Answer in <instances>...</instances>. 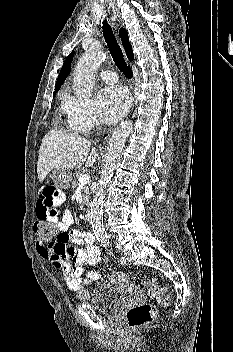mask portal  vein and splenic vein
<instances>
[{
  "label": "portal vein and splenic vein",
  "instance_id": "18ae733b",
  "mask_svg": "<svg viewBox=\"0 0 233 352\" xmlns=\"http://www.w3.org/2000/svg\"><path fill=\"white\" fill-rule=\"evenodd\" d=\"M78 181L80 185H86L90 181V176L88 174L80 175Z\"/></svg>",
  "mask_w": 233,
  "mask_h": 352
}]
</instances>
